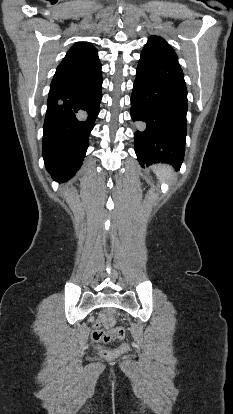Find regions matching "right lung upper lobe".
Wrapping results in <instances>:
<instances>
[{
    "label": "right lung upper lobe",
    "mask_w": 233,
    "mask_h": 414,
    "mask_svg": "<svg viewBox=\"0 0 233 414\" xmlns=\"http://www.w3.org/2000/svg\"><path fill=\"white\" fill-rule=\"evenodd\" d=\"M101 64L97 50L88 43L73 45L56 70V74H82L90 72Z\"/></svg>",
    "instance_id": "1"
}]
</instances>
